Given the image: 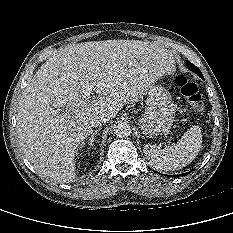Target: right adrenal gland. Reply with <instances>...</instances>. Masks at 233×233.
Segmentation results:
<instances>
[{
    "label": "right adrenal gland",
    "instance_id": "2a0ac1e0",
    "mask_svg": "<svg viewBox=\"0 0 233 233\" xmlns=\"http://www.w3.org/2000/svg\"><path fill=\"white\" fill-rule=\"evenodd\" d=\"M100 131V128L96 129L92 135L89 137V145H94V138L96 134Z\"/></svg>",
    "mask_w": 233,
    "mask_h": 233
}]
</instances>
